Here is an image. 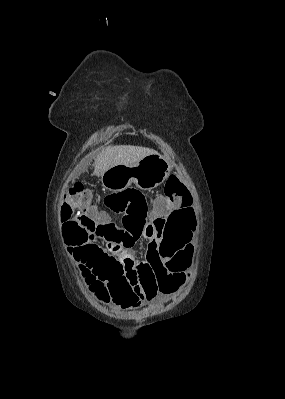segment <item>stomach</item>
Wrapping results in <instances>:
<instances>
[{
    "mask_svg": "<svg viewBox=\"0 0 285 399\" xmlns=\"http://www.w3.org/2000/svg\"><path fill=\"white\" fill-rule=\"evenodd\" d=\"M172 172V166L163 156L151 154L134 165H116L101 175L106 189L123 191L134 183L142 190H152L162 184Z\"/></svg>",
    "mask_w": 285,
    "mask_h": 399,
    "instance_id": "1",
    "label": "stomach"
}]
</instances>
